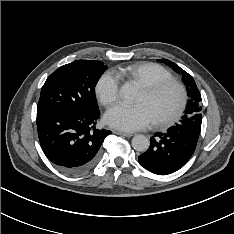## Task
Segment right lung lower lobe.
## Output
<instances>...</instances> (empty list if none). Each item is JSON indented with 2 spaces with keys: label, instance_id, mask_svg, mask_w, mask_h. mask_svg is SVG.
Returning <instances> with one entry per match:
<instances>
[{
  "label": "right lung lower lobe",
  "instance_id": "right-lung-lower-lobe-1",
  "mask_svg": "<svg viewBox=\"0 0 234 234\" xmlns=\"http://www.w3.org/2000/svg\"><path fill=\"white\" fill-rule=\"evenodd\" d=\"M99 112L84 114L56 109L37 114L38 137L46 157L69 174L83 173L96 163L111 131L96 129Z\"/></svg>",
  "mask_w": 234,
  "mask_h": 234
}]
</instances>
